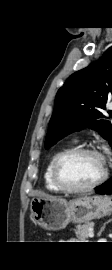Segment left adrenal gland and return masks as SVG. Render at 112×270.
Wrapping results in <instances>:
<instances>
[{"instance_id": "left-adrenal-gland-1", "label": "left adrenal gland", "mask_w": 112, "mask_h": 270, "mask_svg": "<svg viewBox=\"0 0 112 270\" xmlns=\"http://www.w3.org/2000/svg\"><path fill=\"white\" fill-rule=\"evenodd\" d=\"M111 221H112V218L109 219L107 222H105V223L103 224V226L101 227V229H100V231H99V235L102 234V232L104 231L106 225H107L108 223H110Z\"/></svg>"}]
</instances>
